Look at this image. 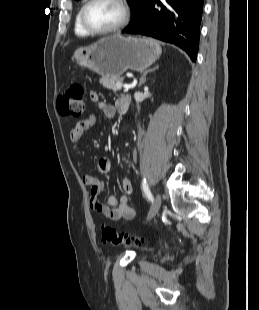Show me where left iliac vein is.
Wrapping results in <instances>:
<instances>
[{
	"mask_svg": "<svg viewBox=\"0 0 259 310\" xmlns=\"http://www.w3.org/2000/svg\"><path fill=\"white\" fill-rule=\"evenodd\" d=\"M162 198L160 194H156L154 203L149 211L147 221L151 220L159 211L161 207Z\"/></svg>",
	"mask_w": 259,
	"mask_h": 310,
	"instance_id": "4c4485c4",
	"label": "left iliac vein"
}]
</instances>
